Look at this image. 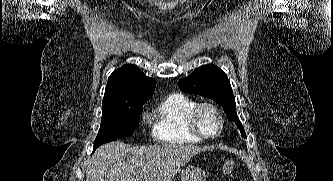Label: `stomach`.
<instances>
[{
    "label": "stomach",
    "instance_id": "1",
    "mask_svg": "<svg viewBox=\"0 0 333 181\" xmlns=\"http://www.w3.org/2000/svg\"><path fill=\"white\" fill-rule=\"evenodd\" d=\"M205 171L196 165H188L181 170V181H205Z\"/></svg>",
    "mask_w": 333,
    "mask_h": 181
}]
</instances>
